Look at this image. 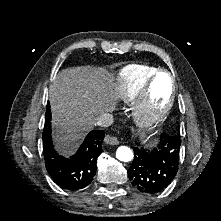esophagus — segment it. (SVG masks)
<instances>
[{"label": "esophagus", "mask_w": 221, "mask_h": 221, "mask_svg": "<svg viewBox=\"0 0 221 221\" xmlns=\"http://www.w3.org/2000/svg\"><path fill=\"white\" fill-rule=\"evenodd\" d=\"M104 141L106 144H110V145H118L119 144V140L117 139V137L111 136V135H106Z\"/></svg>", "instance_id": "esophagus-1"}]
</instances>
